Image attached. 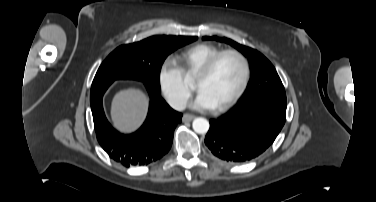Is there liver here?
I'll list each match as a JSON object with an SVG mask.
<instances>
[{"instance_id": "liver-1", "label": "liver", "mask_w": 376, "mask_h": 202, "mask_svg": "<svg viewBox=\"0 0 376 202\" xmlns=\"http://www.w3.org/2000/svg\"><path fill=\"white\" fill-rule=\"evenodd\" d=\"M148 111V98L139 89L128 88L114 96L111 104V120L122 133L130 134L143 124Z\"/></svg>"}]
</instances>
